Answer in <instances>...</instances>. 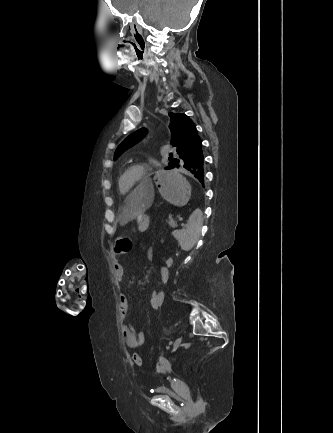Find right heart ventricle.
I'll list each match as a JSON object with an SVG mask.
<instances>
[{
	"instance_id": "1",
	"label": "right heart ventricle",
	"mask_w": 333,
	"mask_h": 433,
	"mask_svg": "<svg viewBox=\"0 0 333 433\" xmlns=\"http://www.w3.org/2000/svg\"><path fill=\"white\" fill-rule=\"evenodd\" d=\"M118 189H119V192H120V194L121 195H126L127 194V187L125 186V182L124 181H121L119 184H118Z\"/></svg>"
}]
</instances>
